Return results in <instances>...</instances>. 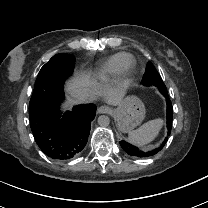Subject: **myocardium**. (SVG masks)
I'll use <instances>...</instances> for the list:
<instances>
[{
    "instance_id": "1",
    "label": "myocardium",
    "mask_w": 208,
    "mask_h": 208,
    "mask_svg": "<svg viewBox=\"0 0 208 208\" xmlns=\"http://www.w3.org/2000/svg\"><path fill=\"white\" fill-rule=\"evenodd\" d=\"M133 69H134V63H132L130 66H128L125 71H126V73H129V72L133 71Z\"/></svg>"
}]
</instances>
